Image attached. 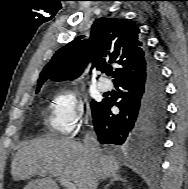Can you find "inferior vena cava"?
<instances>
[{
    "instance_id": "obj_1",
    "label": "inferior vena cava",
    "mask_w": 188,
    "mask_h": 189,
    "mask_svg": "<svg viewBox=\"0 0 188 189\" xmlns=\"http://www.w3.org/2000/svg\"><path fill=\"white\" fill-rule=\"evenodd\" d=\"M83 142H84V147L89 152L91 157L93 158L99 157L101 153L99 144L93 135H91L90 133L86 134Z\"/></svg>"
}]
</instances>
